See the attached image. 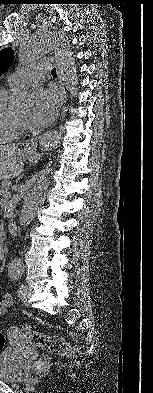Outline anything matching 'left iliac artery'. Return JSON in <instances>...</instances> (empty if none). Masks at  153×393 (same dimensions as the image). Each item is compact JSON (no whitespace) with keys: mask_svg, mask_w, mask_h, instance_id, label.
I'll return each instance as SVG.
<instances>
[{"mask_svg":"<svg viewBox=\"0 0 153 393\" xmlns=\"http://www.w3.org/2000/svg\"><path fill=\"white\" fill-rule=\"evenodd\" d=\"M10 277H11L12 279L16 280V279L19 278V274L11 273V274H10ZM24 288H25L24 285H21V286H20V288H19V290H18V295H19V296L22 295Z\"/></svg>","mask_w":153,"mask_h":393,"instance_id":"44dca946","label":"left iliac artery"}]
</instances>
